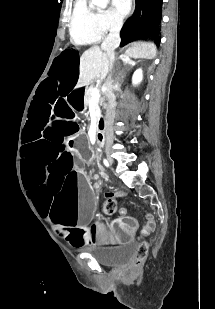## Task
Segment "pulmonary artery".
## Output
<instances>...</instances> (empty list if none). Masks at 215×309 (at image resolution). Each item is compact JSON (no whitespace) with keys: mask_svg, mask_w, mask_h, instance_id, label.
Masks as SVG:
<instances>
[{"mask_svg":"<svg viewBox=\"0 0 215 309\" xmlns=\"http://www.w3.org/2000/svg\"><path fill=\"white\" fill-rule=\"evenodd\" d=\"M76 7L79 9H75V16H86V9H82V8H88L89 2L88 1H77Z\"/></svg>","mask_w":215,"mask_h":309,"instance_id":"1","label":"pulmonary artery"}]
</instances>
